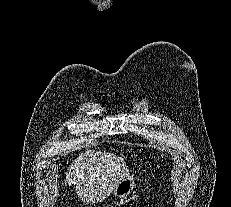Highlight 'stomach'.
<instances>
[{"instance_id": "obj_1", "label": "stomach", "mask_w": 231, "mask_h": 207, "mask_svg": "<svg viewBox=\"0 0 231 207\" xmlns=\"http://www.w3.org/2000/svg\"><path fill=\"white\" fill-rule=\"evenodd\" d=\"M135 187L134 177L128 175L124 180L120 181L113 190V195L118 198H127Z\"/></svg>"}]
</instances>
